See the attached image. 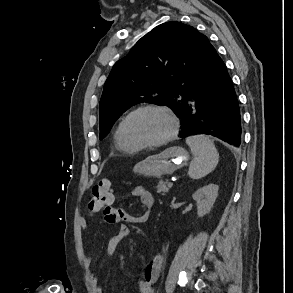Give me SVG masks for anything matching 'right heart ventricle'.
<instances>
[{
  "label": "right heart ventricle",
  "instance_id": "obj_1",
  "mask_svg": "<svg viewBox=\"0 0 293 293\" xmlns=\"http://www.w3.org/2000/svg\"><path fill=\"white\" fill-rule=\"evenodd\" d=\"M124 119H125V117L120 119L115 127L114 135H113L114 143H115L116 148L122 152H134L138 149L133 148V147L129 146L128 144H126V142L124 141V138H123L122 126H123Z\"/></svg>",
  "mask_w": 293,
  "mask_h": 293
}]
</instances>
